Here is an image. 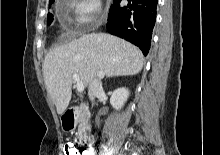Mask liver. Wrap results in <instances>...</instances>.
I'll use <instances>...</instances> for the list:
<instances>
[{
    "instance_id": "6515ba94",
    "label": "liver",
    "mask_w": 220,
    "mask_h": 155,
    "mask_svg": "<svg viewBox=\"0 0 220 155\" xmlns=\"http://www.w3.org/2000/svg\"><path fill=\"white\" fill-rule=\"evenodd\" d=\"M142 68L143 55L137 47L110 34L92 33L48 52L43 75L57 113L63 114L71 99L73 74L88 87L95 77L130 76Z\"/></svg>"
}]
</instances>
